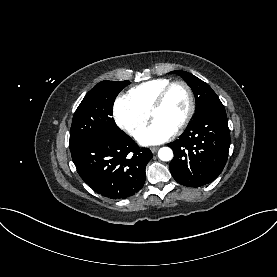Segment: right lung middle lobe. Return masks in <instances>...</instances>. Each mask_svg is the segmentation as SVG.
Here are the masks:
<instances>
[{
    "instance_id": "1",
    "label": "right lung middle lobe",
    "mask_w": 277,
    "mask_h": 277,
    "mask_svg": "<svg viewBox=\"0 0 277 277\" xmlns=\"http://www.w3.org/2000/svg\"><path fill=\"white\" fill-rule=\"evenodd\" d=\"M129 84V81H102L85 95L73 116L70 150L97 136L126 135L111 115L118 93Z\"/></svg>"
}]
</instances>
